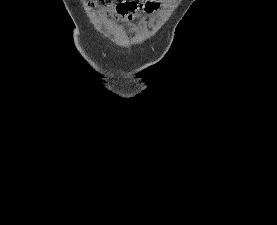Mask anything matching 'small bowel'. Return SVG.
I'll use <instances>...</instances> for the list:
<instances>
[{
    "label": "small bowel",
    "mask_w": 277,
    "mask_h": 225,
    "mask_svg": "<svg viewBox=\"0 0 277 225\" xmlns=\"http://www.w3.org/2000/svg\"><path fill=\"white\" fill-rule=\"evenodd\" d=\"M158 8H159V4L152 3V4H150V8L147 9V11H149V12L156 11ZM124 19L127 20V21H132L134 19V15L132 13L127 14V15L124 16Z\"/></svg>",
    "instance_id": "c3829d8e"
}]
</instances>
